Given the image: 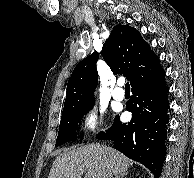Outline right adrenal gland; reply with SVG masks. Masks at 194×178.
<instances>
[{
    "label": "right adrenal gland",
    "mask_w": 194,
    "mask_h": 178,
    "mask_svg": "<svg viewBox=\"0 0 194 178\" xmlns=\"http://www.w3.org/2000/svg\"><path fill=\"white\" fill-rule=\"evenodd\" d=\"M126 175H127V173L122 174V175H117V176H115L114 178H126V177H125Z\"/></svg>",
    "instance_id": "obj_1"
}]
</instances>
